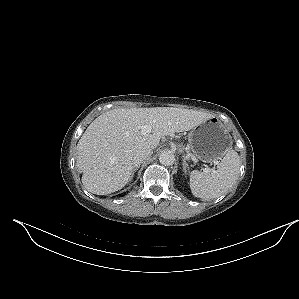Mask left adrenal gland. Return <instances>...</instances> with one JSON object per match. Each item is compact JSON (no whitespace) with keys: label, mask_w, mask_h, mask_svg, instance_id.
Segmentation results:
<instances>
[{"label":"left adrenal gland","mask_w":299,"mask_h":299,"mask_svg":"<svg viewBox=\"0 0 299 299\" xmlns=\"http://www.w3.org/2000/svg\"><path fill=\"white\" fill-rule=\"evenodd\" d=\"M182 164H183V172H184L185 174H187V169H188L189 167H188V164H187V162H186V158H185V156H183V162H182Z\"/></svg>","instance_id":"1"}]
</instances>
